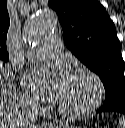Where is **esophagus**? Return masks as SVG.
<instances>
[{
    "instance_id": "obj_1",
    "label": "esophagus",
    "mask_w": 125,
    "mask_h": 128,
    "mask_svg": "<svg viewBox=\"0 0 125 128\" xmlns=\"http://www.w3.org/2000/svg\"><path fill=\"white\" fill-rule=\"evenodd\" d=\"M44 126L45 127H52V123L51 122H46V123H44Z\"/></svg>"
}]
</instances>
